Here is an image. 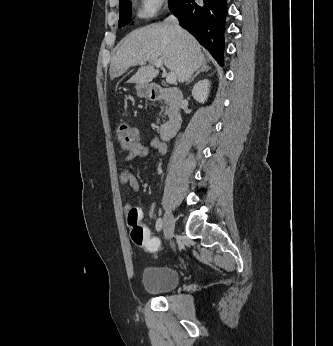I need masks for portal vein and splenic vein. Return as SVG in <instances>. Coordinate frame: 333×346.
Segmentation results:
<instances>
[{
	"label": "portal vein and splenic vein",
	"instance_id": "obj_1",
	"mask_svg": "<svg viewBox=\"0 0 333 346\" xmlns=\"http://www.w3.org/2000/svg\"><path fill=\"white\" fill-rule=\"evenodd\" d=\"M154 65L157 67V68H161V67H163V62H162V60H160V59H157V60H155L154 61ZM166 82L168 83V84H174V83H176V75H175V73H168L167 75H166Z\"/></svg>",
	"mask_w": 333,
	"mask_h": 346
}]
</instances>
